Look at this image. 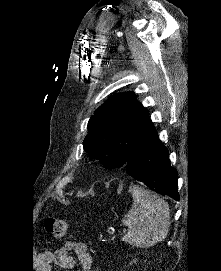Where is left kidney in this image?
<instances>
[{
    "mask_svg": "<svg viewBox=\"0 0 221 271\" xmlns=\"http://www.w3.org/2000/svg\"><path fill=\"white\" fill-rule=\"evenodd\" d=\"M133 261H136V259H133ZM133 261H131V263H133Z\"/></svg>",
    "mask_w": 221,
    "mask_h": 271,
    "instance_id": "5707ae66",
    "label": "left kidney"
}]
</instances>
